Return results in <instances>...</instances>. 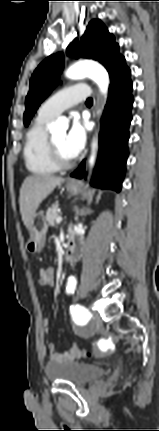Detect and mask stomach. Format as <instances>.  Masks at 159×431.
<instances>
[{
	"mask_svg": "<svg viewBox=\"0 0 159 431\" xmlns=\"http://www.w3.org/2000/svg\"><path fill=\"white\" fill-rule=\"evenodd\" d=\"M66 189L71 194H77L80 190L78 182L68 183ZM48 230L47 221L42 212L35 213L28 228L29 240L26 249L31 253L40 252L45 246L46 232Z\"/></svg>",
	"mask_w": 159,
	"mask_h": 431,
	"instance_id": "0dacf381",
	"label": "stomach"
}]
</instances>
